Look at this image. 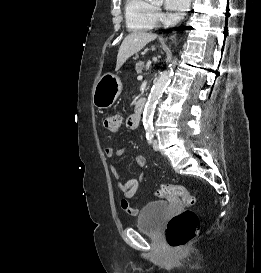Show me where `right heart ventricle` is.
Returning <instances> with one entry per match:
<instances>
[{
    "mask_svg": "<svg viewBox=\"0 0 261 273\" xmlns=\"http://www.w3.org/2000/svg\"><path fill=\"white\" fill-rule=\"evenodd\" d=\"M124 11L126 25L133 32H147L157 25L155 10L149 0H126Z\"/></svg>",
    "mask_w": 261,
    "mask_h": 273,
    "instance_id": "e07e8e85",
    "label": "right heart ventricle"
}]
</instances>
